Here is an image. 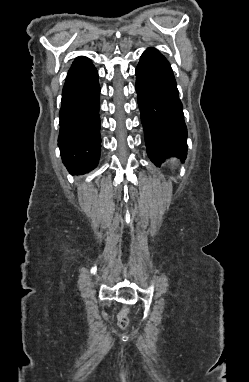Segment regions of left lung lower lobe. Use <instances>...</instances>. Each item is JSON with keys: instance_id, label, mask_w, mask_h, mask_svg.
Listing matches in <instances>:
<instances>
[{"instance_id": "left-lung-lower-lobe-1", "label": "left lung lower lobe", "mask_w": 249, "mask_h": 382, "mask_svg": "<svg viewBox=\"0 0 249 382\" xmlns=\"http://www.w3.org/2000/svg\"><path fill=\"white\" fill-rule=\"evenodd\" d=\"M136 91L146 148L154 164L166 158L184 160L187 129L172 68L155 48L142 54L136 68Z\"/></svg>"}]
</instances>
